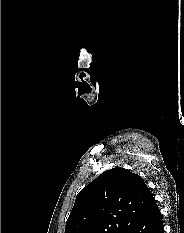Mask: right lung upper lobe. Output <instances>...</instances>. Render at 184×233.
I'll list each match as a JSON object with an SVG mask.
<instances>
[{"mask_svg":"<svg viewBox=\"0 0 184 233\" xmlns=\"http://www.w3.org/2000/svg\"><path fill=\"white\" fill-rule=\"evenodd\" d=\"M155 206L156 200L140 176L113 168L78 193L65 233H127Z\"/></svg>","mask_w":184,"mask_h":233,"instance_id":"cb5924a9","label":"right lung upper lobe"}]
</instances>
